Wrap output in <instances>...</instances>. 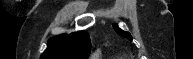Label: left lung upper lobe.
I'll use <instances>...</instances> for the list:
<instances>
[{
    "instance_id": "5c2ea615",
    "label": "left lung upper lobe",
    "mask_w": 193,
    "mask_h": 59,
    "mask_svg": "<svg viewBox=\"0 0 193 59\" xmlns=\"http://www.w3.org/2000/svg\"><path fill=\"white\" fill-rule=\"evenodd\" d=\"M114 30L122 37L127 38L128 40H132V36L129 32H125L124 30H122L121 28L118 27L117 24H113Z\"/></svg>"
}]
</instances>
